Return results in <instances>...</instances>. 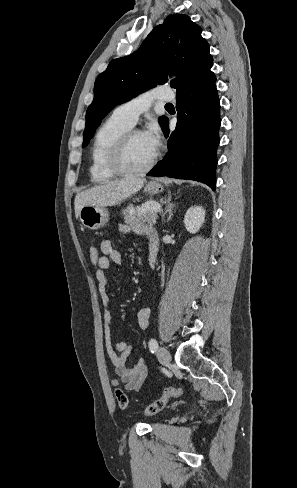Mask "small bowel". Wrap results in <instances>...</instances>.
<instances>
[{
	"label": "small bowel",
	"mask_w": 297,
	"mask_h": 488,
	"mask_svg": "<svg viewBox=\"0 0 297 488\" xmlns=\"http://www.w3.org/2000/svg\"><path fill=\"white\" fill-rule=\"evenodd\" d=\"M119 231L122 234L133 232L145 240L148 247L149 264L153 268L155 266L159 244L157 233L149 226H129L126 224L119 225ZM100 251L101 257L97 264L98 269L95 277L98 283V290L101 296L104 312L105 346L108 356L115 368V373L119 377V379L112 381V385L116 386L122 383L127 390L137 392L141 389L147 376L145 361L143 359H138L134 364L130 365L128 359L132 352V345L126 342H114L111 335V299L107 292L109 278L106 271L111 267L112 263L120 264L122 262V256L112 242L106 239L100 242ZM150 316V308L146 307L138 311L137 322L140 328L146 329L149 326Z\"/></svg>",
	"instance_id": "small-bowel-1"
}]
</instances>
